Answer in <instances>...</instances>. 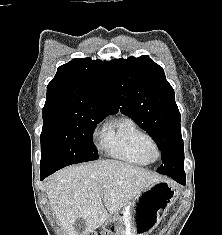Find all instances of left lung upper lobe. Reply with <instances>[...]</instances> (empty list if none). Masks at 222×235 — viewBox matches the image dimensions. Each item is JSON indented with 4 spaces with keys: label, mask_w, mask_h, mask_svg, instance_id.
I'll return each mask as SVG.
<instances>
[{
    "label": "left lung upper lobe",
    "mask_w": 222,
    "mask_h": 235,
    "mask_svg": "<svg viewBox=\"0 0 222 235\" xmlns=\"http://www.w3.org/2000/svg\"><path fill=\"white\" fill-rule=\"evenodd\" d=\"M105 65L120 111L150 134L161 150L157 172L185 175L181 115L163 68L147 55L105 61Z\"/></svg>",
    "instance_id": "left-lung-upper-lobe-1"
}]
</instances>
